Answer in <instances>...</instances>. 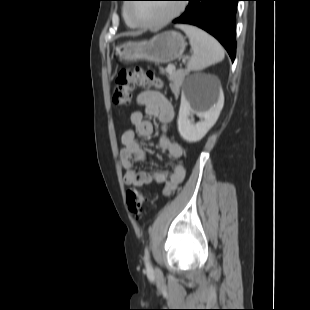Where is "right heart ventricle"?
Listing matches in <instances>:
<instances>
[{
	"mask_svg": "<svg viewBox=\"0 0 310 310\" xmlns=\"http://www.w3.org/2000/svg\"><path fill=\"white\" fill-rule=\"evenodd\" d=\"M124 14H125V11H124ZM125 19H126V22L128 23V25H129L130 27H133V28L136 27L134 24H132V23L126 18V16H125Z\"/></svg>",
	"mask_w": 310,
	"mask_h": 310,
	"instance_id": "e07e8e85",
	"label": "right heart ventricle"
}]
</instances>
